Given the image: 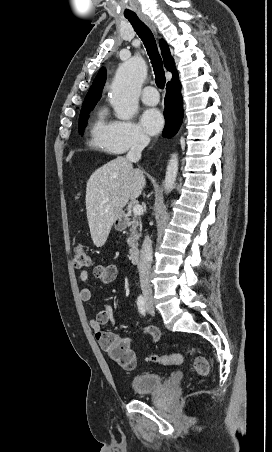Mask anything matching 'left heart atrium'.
<instances>
[{"label": "left heart atrium", "instance_id": "left-heart-atrium-1", "mask_svg": "<svg viewBox=\"0 0 272 452\" xmlns=\"http://www.w3.org/2000/svg\"><path fill=\"white\" fill-rule=\"evenodd\" d=\"M163 123L162 114L156 108L145 110L141 116L142 127L151 135L157 134L162 129Z\"/></svg>", "mask_w": 272, "mask_h": 452}]
</instances>
